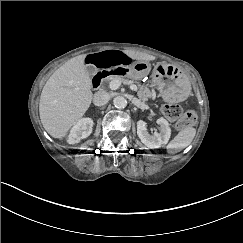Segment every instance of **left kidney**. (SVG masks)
I'll list each match as a JSON object with an SVG mask.
<instances>
[{
  "instance_id": "left-kidney-1",
  "label": "left kidney",
  "mask_w": 243,
  "mask_h": 243,
  "mask_svg": "<svg viewBox=\"0 0 243 243\" xmlns=\"http://www.w3.org/2000/svg\"><path fill=\"white\" fill-rule=\"evenodd\" d=\"M156 122L160 125V132H155L153 135L148 133L144 121L140 120L137 122V135L141 142L149 149L159 148L167 144L171 136V129L166 119L161 117Z\"/></svg>"
}]
</instances>
